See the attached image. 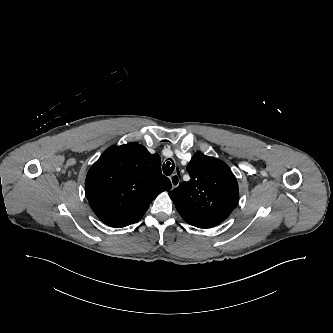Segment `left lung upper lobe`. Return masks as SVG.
I'll list each match as a JSON object with an SVG mask.
<instances>
[{
    "label": "left lung upper lobe",
    "mask_w": 333,
    "mask_h": 333,
    "mask_svg": "<svg viewBox=\"0 0 333 333\" xmlns=\"http://www.w3.org/2000/svg\"><path fill=\"white\" fill-rule=\"evenodd\" d=\"M187 171L191 176L190 181L181 183L169 193L175 206L236 207L239 199L238 183L227 164L203 153H195Z\"/></svg>",
    "instance_id": "obj_1"
}]
</instances>
